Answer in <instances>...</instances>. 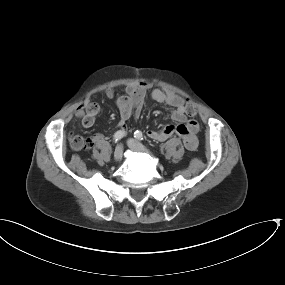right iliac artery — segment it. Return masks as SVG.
<instances>
[{
  "mask_svg": "<svg viewBox=\"0 0 285 285\" xmlns=\"http://www.w3.org/2000/svg\"><path fill=\"white\" fill-rule=\"evenodd\" d=\"M124 136H125V132L117 131L113 136V140L116 143V142L120 141Z\"/></svg>",
  "mask_w": 285,
  "mask_h": 285,
  "instance_id": "obj_1",
  "label": "right iliac artery"
}]
</instances>
